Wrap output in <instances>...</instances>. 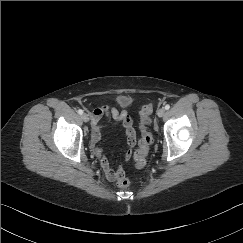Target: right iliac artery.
I'll use <instances>...</instances> for the list:
<instances>
[{"label":"right iliac artery","instance_id":"82829eb1","mask_svg":"<svg viewBox=\"0 0 243 243\" xmlns=\"http://www.w3.org/2000/svg\"><path fill=\"white\" fill-rule=\"evenodd\" d=\"M78 113H79L80 115H82V114H83V110L79 109V110H78Z\"/></svg>","mask_w":243,"mask_h":243}]
</instances>
